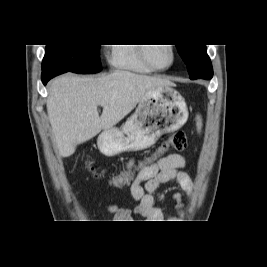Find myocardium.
<instances>
[{"instance_id":"f54148a6","label":"myocardium","mask_w":267,"mask_h":267,"mask_svg":"<svg viewBox=\"0 0 267 267\" xmlns=\"http://www.w3.org/2000/svg\"><path fill=\"white\" fill-rule=\"evenodd\" d=\"M144 45L145 46H141V56H142V59L153 70H155V71H166V70L170 69L173 66V64L175 63V60H176V51H175V46H173L172 44H165V45H167L169 47V49L171 51V61L165 67H159V66L155 65L153 63V61L151 60L149 51H150V48H151V45L152 44H144Z\"/></svg>"}]
</instances>
